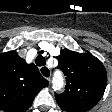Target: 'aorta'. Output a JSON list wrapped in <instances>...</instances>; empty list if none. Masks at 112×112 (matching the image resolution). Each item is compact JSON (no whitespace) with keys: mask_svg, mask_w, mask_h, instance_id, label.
<instances>
[{"mask_svg":"<svg viewBox=\"0 0 112 112\" xmlns=\"http://www.w3.org/2000/svg\"><path fill=\"white\" fill-rule=\"evenodd\" d=\"M64 85V81H63V77L61 75H59L57 78L54 79L53 81V88L55 90H59L60 88H62Z\"/></svg>","mask_w":112,"mask_h":112,"instance_id":"aorta-1","label":"aorta"}]
</instances>
